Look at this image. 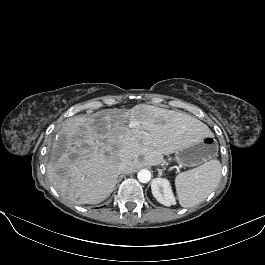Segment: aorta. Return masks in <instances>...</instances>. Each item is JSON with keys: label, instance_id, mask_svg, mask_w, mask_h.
I'll use <instances>...</instances> for the list:
<instances>
[{"label": "aorta", "instance_id": "obj_1", "mask_svg": "<svg viewBox=\"0 0 265 265\" xmlns=\"http://www.w3.org/2000/svg\"><path fill=\"white\" fill-rule=\"evenodd\" d=\"M137 178L141 183H148L151 180V173L147 169H142L138 172Z\"/></svg>", "mask_w": 265, "mask_h": 265}]
</instances>
